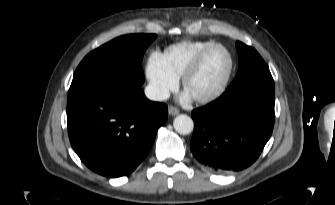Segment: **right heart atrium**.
<instances>
[{
    "instance_id": "d8ad5b80",
    "label": "right heart atrium",
    "mask_w": 335,
    "mask_h": 205,
    "mask_svg": "<svg viewBox=\"0 0 335 205\" xmlns=\"http://www.w3.org/2000/svg\"><path fill=\"white\" fill-rule=\"evenodd\" d=\"M145 77L148 91L155 100L164 99L178 83V77L167 67L163 55L152 52L146 62Z\"/></svg>"
}]
</instances>
